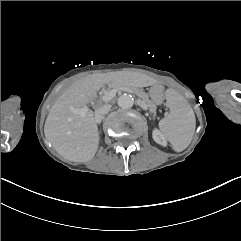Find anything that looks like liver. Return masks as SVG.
Instances as JSON below:
<instances>
[{
  "mask_svg": "<svg viewBox=\"0 0 241 241\" xmlns=\"http://www.w3.org/2000/svg\"><path fill=\"white\" fill-rule=\"evenodd\" d=\"M123 76L115 72L93 74L72 84L53 104L44 125L46 139L65 159L73 162L91 160L98 149V127L92 110L85 117L72 113L70 107L80 109L94 98L104 84H120Z\"/></svg>",
  "mask_w": 241,
  "mask_h": 241,
  "instance_id": "obj_1",
  "label": "liver"
}]
</instances>
